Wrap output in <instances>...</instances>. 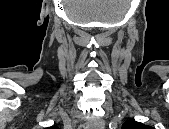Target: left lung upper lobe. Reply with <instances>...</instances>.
<instances>
[{"mask_svg": "<svg viewBox=\"0 0 169 129\" xmlns=\"http://www.w3.org/2000/svg\"><path fill=\"white\" fill-rule=\"evenodd\" d=\"M150 127L140 122L128 120L122 125V129H149Z\"/></svg>", "mask_w": 169, "mask_h": 129, "instance_id": "left-lung-upper-lobe-1", "label": "left lung upper lobe"}]
</instances>
